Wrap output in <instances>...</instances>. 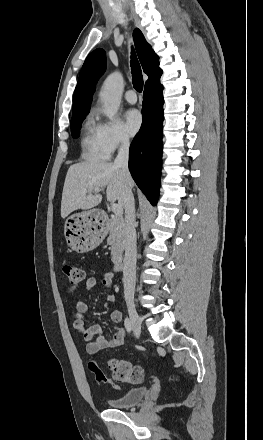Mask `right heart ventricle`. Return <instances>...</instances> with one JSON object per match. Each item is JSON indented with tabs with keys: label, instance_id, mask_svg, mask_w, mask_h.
Masks as SVG:
<instances>
[{
	"label": "right heart ventricle",
	"instance_id": "right-heart-ventricle-1",
	"mask_svg": "<svg viewBox=\"0 0 263 440\" xmlns=\"http://www.w3.org/2000/svg\"><path fill=\"white\" fill-rule=\"evenodd\" d=\"M81 155L87 161H103L109 157L101 138V125L92 116L87 118L84 125Z\"/></svg>",
	"mask_w": 263,
	"mask_h": 440
}]
</instances>
